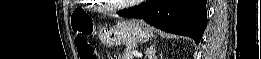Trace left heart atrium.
<instances>
[{
  "label": "left heart atrium",
  "instance_id": "left-heart-atrium-1",
  "mask_svg": "<svg viewBox=\"0 0 261 59\" xmlns=\"http://www.w3.org/2000/svg\"><path fill=\"white\" fill-rule=\"evenodd\" d=\"M128 3H140L142 2V0H130V1H126Z\"/></svg>",
  "mask_w": 261,
  "mask_h": 59
}]
</instances>
